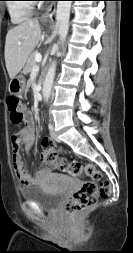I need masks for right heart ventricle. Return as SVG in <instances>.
<instances>
[{
  "instance_id": "right-heart-ventricle-1",
  "label": "right heart ventricle",
  "mask_w": 133,
  "mask_h": 253,
  "mask_svg": "<svg viewBox=\"0 0 133 253\" xmlns=\"http://www.w3.org/2000/svg\"><path fill=\"white\" fill-rule=\"evenodd\" d=\"M8 11L14 23H21L32 15L33 6L26 0H13L8 3Z\"/></svg>"
}]
</instances>
